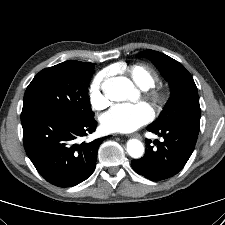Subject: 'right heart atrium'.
Wrapping results in <instances>:
<instances>
[{
    "mask_svg": "<svg viewBox=\"0 0 225 225\" xmlns=\"http://www.w3.org/2000/svg\"><path fill=\"white\" fill-rule=\"evenodd\" d=\"M107 72L98 73L90 84V103L94 110L100 111L109 105V100L103 91V82Z\"/></svg>",
    "mask_w": 225,
    "mask_h": 225,
    "instance_id": "1",
    "label": "right heart atrium"
}]
</instances>
